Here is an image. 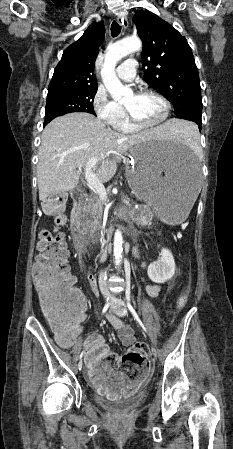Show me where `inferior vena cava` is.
Segmentation results:
<instances>
[{
  "label": "inferior vena cava",
  "mask_w": 233,
  "mask_h": 449,
  "mask_svg": "<svg viewBox=\"0 0 233 449\" xmlns=\"http://www.w3.org/2000/svg\"><path fill=\"white\" fill-rule=\"evenodd\" d=\"M103 275H104V272L101 271L99 277L101 278V277H103Z\"/></svg>",
  "instance_id": "obj_1"
}]
</instances>
